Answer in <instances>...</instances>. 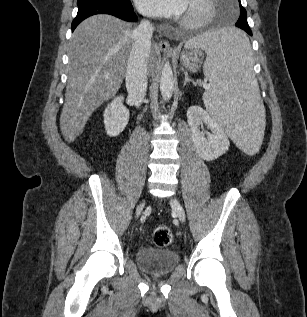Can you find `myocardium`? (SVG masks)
<instances>
[{
    "label": "myocardium",
    "instance_id": "1",
    "mask_svg": "<svg viewBox=\"0 0 307 317\" xmlns=\"http://www.w3.org/2000/svg\"><path fill=\"white\" fill-rule=\"evenodd\" d=\"M189 8L181 24L192 29L208 24L215 14L214 0H190Z\"/></svg>",
    "mask_w": 307,
    "mask_h": 317
}]
</instances>
